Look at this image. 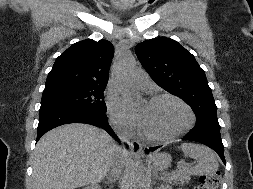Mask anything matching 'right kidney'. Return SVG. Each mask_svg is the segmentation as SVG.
<instances>
[{
    "label": "right kidney",
    "instance_id": "ca27d5eb",
    "mask_svg": "<svg viewBox=\"0 0 253 189\" xmlns=\"http://www.w3.org/2000/svg\"><path fill=\"white\" fill-rule=\"evenodd\" d=\"M83 189H100V187L97 185V184H92L86 188H83Z\"/></svg>",
    "mask_w": 253,
    "mask_h": 189
}]
</instances>
